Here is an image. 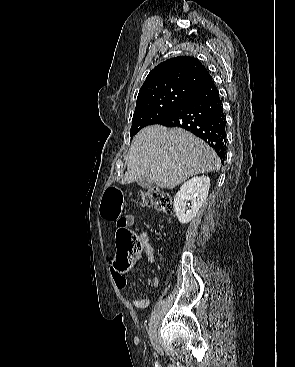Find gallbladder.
Listing matches in <instances>:
<instances>
[{"label": "gallbladder", "instance_id": "1", "mask_svg": "<svg viewBox=\"0 0 295 367\" xmlns=\"http://www.w3.org/2000/svg\"><path fill=\"white\" fill-rule=\"evenodd\" d=\"M137 184L140 187L145 188V189H150L153 186L152 181H149L148 179L143 178V177L137 180Z\"/></svg>", "mask_w": 295, "mask_h": 367}]
</instances>
